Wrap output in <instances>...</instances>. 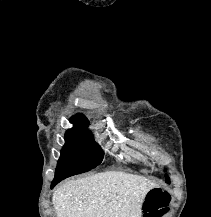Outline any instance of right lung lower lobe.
<instances>
[{
    "label": "right lung lower lobe",
    "instance_id": "1",
    "mask_svg": "<svg viewBox=\"0 0 211 217\" xmlns=\"http://www.w3.org/2000/svg\"><path fill=\"white\" fill-rule=\"evenodd\" d=\"M61 180L63 179H55L53 180L52 184H51V188H53L57 183H59Z\"/></svg>",
    "mask_w": 211,
    "mask_h": 217
}]
</instances>
